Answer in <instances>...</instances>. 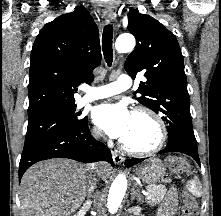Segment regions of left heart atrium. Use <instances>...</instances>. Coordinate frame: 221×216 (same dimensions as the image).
<instances>
[{"instance_id": "39dd6f15", "label": "left heart atrium", "mask_w": 221, "mask_h": 216, "mask_svg": "<svg viewBox=\"0 0 221 216\" xmlns=\"http://www.w3.org/2000/svg\"><path fill=\"white\" fill-rule=\"evenodd\" d=\"M133 113L121 103H104L95 108L93 119L108 136L123 140L128 133Z\"/></svg>"}]
</instances>
